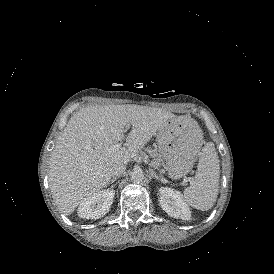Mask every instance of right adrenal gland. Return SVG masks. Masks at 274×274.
Listing matches in <instances>:
<instances>
[{
    "instance_id": "obj_1",
    "label": "right adrenal gland",
    "mask_w": 274,
    "mask_h": 274,
    "mask_svg": "<svg viewBox=\"0 0 274 274\" xmlns=\"http://www.w3.org/2000/svg\"><path fill=\"white\" fill-rule=\"evenodd\" d=\"M116 181V178L110 180V184L114 183Z\"/></svg>"
}]
</instances>
